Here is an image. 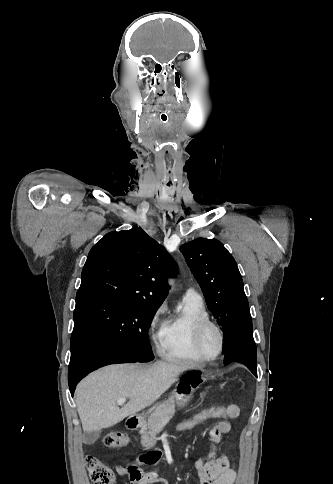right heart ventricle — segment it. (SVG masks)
Instances as JSON below:
<instances>
[{
    "mask_svg": "<svg viewBox=\"0 0 333 484\" xmlns=\"http://www.w3.org/2000/svg\"><path fill=\"white\" fill-rule=\"evenodd\" d=\"M209 319V313L201 297L185 295L181 305L164 321L159 332L161 355L174 362L201 366L205 361L194 346L197 324Z\"/></svg>",
    "mask_w": 333,
    "mask_h": 484,
    "instance_id": "right-heart-ventricle-1",
    "label": "right heart ventricle"
}]
</instances>
